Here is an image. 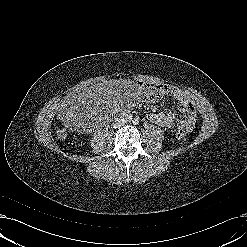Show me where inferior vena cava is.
Wrapping results in <instances>:
<instances>
[{
	"instance_id": "1",
	"label": "inferior vena cava",
	"mask_w": 247,
	"mask_h": 247,
	"mask_svg": "<svg viewBox=\"0 0 247 247\" xmlns=\"http://www.w3.org/2000/svg\"><path fill=\"white\" fill-rule=\"evenodd\" d=\"M127 121L124 119V118H119V119H117L115 122H114V126L115 127H121V126H123V125H125V123H126Z\"/></svg>"
}]
</instances>
